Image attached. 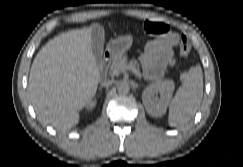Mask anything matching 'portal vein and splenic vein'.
Masks as SVG:
<instances>
[{"label":"portal vein and splenic vein","instance_id":"portal-vein-and-splenic-vein-1","mask_svg":"<svg viewBox=\"0 0 243 167\" xmlns=\"http://www.w3.org/2000/svg\"><path fill=\"white\" fill-rule=\"evenodd\" d=\"M128 69L131 70L133 73H135L139 78H141L140 73L134 68V66H132V65H125V66H122V68H121L122 71H126Z\"/></svg>","mask_w":243,"mask_h":167}]
</instances>
